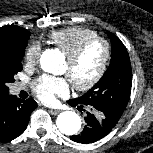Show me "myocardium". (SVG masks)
I'll list each match as a JSON object with an SVG mask.
<instances>
[{"label": "myocardium", "instance_id": "f54148a6", "mask_svg": "<svg viewBox=\"0 0 153 153\" xmlns=\"http://www.w3.org/2000/svg\"><path fill=\"white\" fill-rule=\"evenodd\" d=\"M96 42H100L104 45L105 52H104L103 61L101 63L100 68L96 72V74L89 81H87L85 83H76V82L70 80L73 87L78 91L91 90L104 77V75L107 72V69L109 67L111 56H112L111 43L106 38L101 37V36L90 37V38L84 40L82 43H80L71 53L66 55L68 63L73 65L80 59V57L87 50V48Z\"/></svg>", "mask_w": 153, "mask_h": 153}]
</instances>
